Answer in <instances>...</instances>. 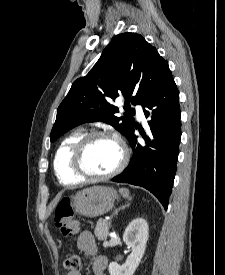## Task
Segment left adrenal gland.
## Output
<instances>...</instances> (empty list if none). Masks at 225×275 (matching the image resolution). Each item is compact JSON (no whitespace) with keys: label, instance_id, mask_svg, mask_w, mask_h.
Here are the masks:
<instances>
[{"label":"left adrenal gland","instance_id":"obj_1","mask_svg":"<svg viewBox=\"0 0 225 275\" xmlns=\"http://www.w3.org/2000/svg\"><path fill=\"white\" fill-rule=\"evenodd\" d=\"M128 206H129V204H125V205L119 207L118 209H116L115 212H114L113 215H112V218H113L114 216H116V215L118 214L119 211L124 210V209H125L126 207H128Z\"/></svg>","mask_w":225,"mask_h":275}]
</instances>
